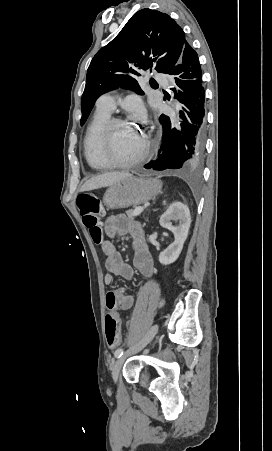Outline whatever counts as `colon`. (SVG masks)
<instances>
[{"label": "colon", "instance_id": "5ec220e1", "mask_svg": "<svg viewBox=\"0 0 272 451\" xmlns=\"http://www.w3.org/2000/svg\"><path fill=\"white\" fill-rule=\"evenodd\" d=\"M76 205L80 210L82 221L85 226L91 228V237L95 242H100L102 239V232L98 226L99 220L102 216V200L92 192L81 194L76 198ZM104 331L108 346L118 347L120 340L119 324L115 316L107 314L105 317Z\"/></svg>", "mask_w": 272, "mask_h": 451}]
</instances>
